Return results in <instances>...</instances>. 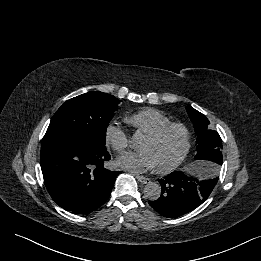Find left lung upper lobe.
Here are the masks:
<instances>
[{"label":"left lung upper lobe","instance_id":"obj_1","mask_svg":"<svg viewBox=\"0 0 261 261\" xmlns=\"http://www.w3.org/2000/svg\"><path fill=\"white\" fill-rule=\"evenodd\" d=\"M188 115L193 122L197 136V154L196 160L203 161L205 165L212 166L219 169L222 165V140L219 134L208 128V119L199 111L192 108L190 105L187 107Z\"/></svg>","mask_w":261,"mask_h":261}]
</instances>
